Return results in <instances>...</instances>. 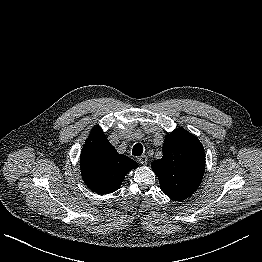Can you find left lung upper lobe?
I'll return each mask as SVG.
<instances>
[{
    "instance_id": "1",
    "label": "left lung upper lobe",
    "mask_w": 262,
    "mask_h": 262,
    "mask_svg": "<svg viewBox=\"0 0 262 262\" xmlns=\"http://www.w3.org/2000/svg\"><path fill=\"white\" fill-rule=\"evenodd\" d=\"M162 150L163 157L151 164L160 188L172 200H185L202 181L204 148L194 135L179 128L165 137Z\"/></svg>"
}]
</instances>
